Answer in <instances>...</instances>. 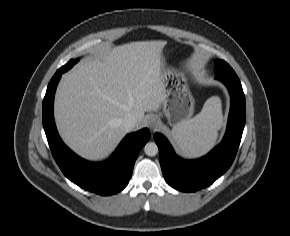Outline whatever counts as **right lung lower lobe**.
Returning <instances> with one entry per match:
<instances>
[{
	"instance_id": "obj_1",
	"label": "right lung lower lobe",
	"mask_w": 290,
	"mask_h": 236,
	"mask_svg": "<svg viewBox=\"0 0 290 236\" xmlns=\"http://www.w3.org/2000/svg\"><path fill=\"white\" fill-rule=\"evenodd\" d=\"M62 73L57 71L50 80L42 106L43 126L52 155L63 174L81 188L100 195L116 194L128 184L138 153L151 136L150 131L145 128L128 134L105 162L81 159L62 142L53 118L54 94Z\"/></svg>"
}]
</instances>
